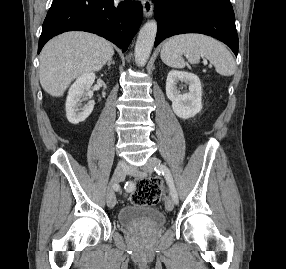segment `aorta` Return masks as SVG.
<instances>
[{"label":"aorta","instance_id":"762f6f07","mask_svg":"<svg viewBox=\"0 0 286 269\" xmlns=\"http://www.w3.org/2000/svg\"><path fill=\"white\" fill-rule=\"evenodd\" d=\"M157 33V23L155 20L148 21L141 28L136 45L135 61L138 66H144L150 57Z\"/></svg>","mask_w":286,"mask_h":269}]
</instances>
